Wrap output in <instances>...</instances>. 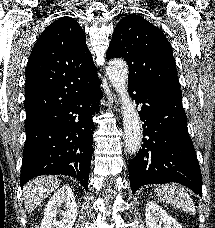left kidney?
Returning a JSON list of instances; mask_svg holds the SVG:
<instances>
[{"label": "left kidney", "instance_id": "1", "mask_svg": "<svg viewBox=\"0 0 215 228\" xmlns=\"http://www.w3.org/2000/svg\"><path fill=\"white\" fill-rule=\"evenodd\" d=\"M146 228H181L180 224L154 202H148L145 210Z\"/></svg>", "mask_w": 215, "mask_h": 228}]
</instances>
